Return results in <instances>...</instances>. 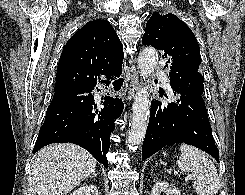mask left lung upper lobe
I'll return each instance as SVG.
<instances>
[{
    "label": "left lung upper lobe",
    "instance_id": "1",
    "mask_svg": "<svg viewBox=\"0 0 245 195\" xmlns=\"http://www.w3.org/2000/svg\"><path fill=\"white\" fill-rule=\"evenodd\" d=\"M143 45H151L169 57L171 87L190 88L203 94L204 78L198 71L200 48L191 29L171 13L154 12L147 21Z\"/></svg>",
    "mask_w": 245,
    "mask_h": 195
}]
</instances>
